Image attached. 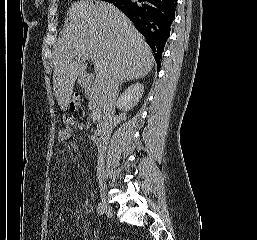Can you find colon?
<instances>
[{"mask_svg":"<svg viewBox=\"0 0 257 240\" xmlns=\"http://www.w3.org/2000/svg\"><path fill=\"white\" fill-rule=\"evenodd\" d=\"M82 106V97L80 94H74L70 100V107L73 110H77Z\"/></svg>","mask_w":257,"mask_h":240,"instance_id":"5ec220e1","label":"colon"}]
</instances>
